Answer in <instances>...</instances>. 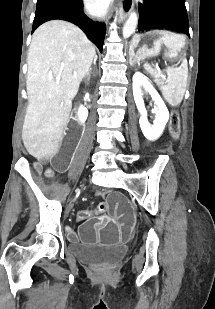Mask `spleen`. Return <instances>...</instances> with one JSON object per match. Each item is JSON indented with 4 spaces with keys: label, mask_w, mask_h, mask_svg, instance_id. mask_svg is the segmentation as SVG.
<instances>
[{
    "label": "spleen",
    "mask_w": 215,
    "mask_h": 309,
    "mask_svg": "<svg viewBox=\"0 0 215 309\" xmlns=\"http://www.w3.org/2000/svg\"><path fill=\"white\" fill-rule=\"evenodd\" d=\"M143 66L150 74H157V70L152 68L149 62H145ZM166 72L168 74L166 82H161L162 94L171 106H178L185 92L183 68H172V66H168Z\"/></svg>",
    "instance_id": "1"
}]
</instances>
